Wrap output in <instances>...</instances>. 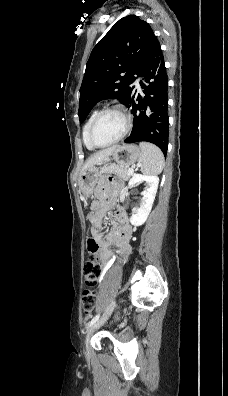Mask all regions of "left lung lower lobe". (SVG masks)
Listing matches in <instances>:
<instances>
[{"instance_id":"obj_1","label":"left lung lower lobe","mask_w":228,"mask_h":396,"mask_svg":"<svg viewBox=\"0 0 228 396\" xmlns=\"http://www.w3.org/2000/svg\"><path fill=\"white\" fill-rule=\"evenodd\" d=\"M143 77L140 86L144 97L132 94L126 106L132 107L134 125L125 143L146 141L157 145L164 155L167 153L168 122V78L164 57L158 39L139 73ZM135 100L138 103H135Z\"/></svg>"}]
</instances>
